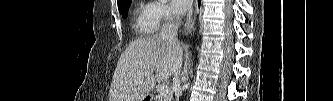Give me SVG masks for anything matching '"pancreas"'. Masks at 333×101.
<instances>
[{
	"instance_id": "cf45deb5",
	"label": "pancreas",
	"mask_w": 333,
	"mask_h": 101,
	"mask_svg": "<svg viewBox=\"0 0 333 101\" xmlns=\"http://www.w3.org/2000/svg\"><path fill=\"white\" fill-rule=\"evenodd\" d=\"M171 94L169 93L168 95H162L161 93H158L156 96V101H171Z\"/></svg>"
}]
</instances>
